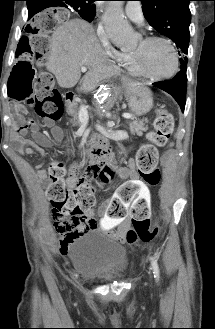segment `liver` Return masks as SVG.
Masks as SVG:
<instances>
[{"mask_svg":"<svg viewBox=\"0 0 215 329\" xmlns=\"http://www.w3.org/2000/svg\"><path fill=\"white\" fill-rule=\"evenodd\" d=\"M82 66L89 68L78 89L84 93L94 90L103 79L119 74L118 68L104 57L92 26L82 19H73L53 32L46 68L55 75L60 87L72 88L81 77Z\"/></svg>","mask_w":215,"mask_h":329,"instance_id":"liver-1","label":"liver"}]
</instances>
